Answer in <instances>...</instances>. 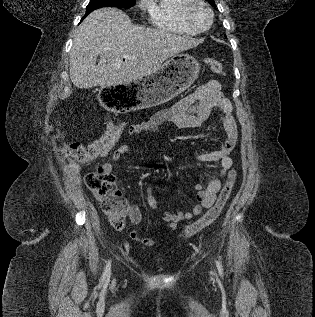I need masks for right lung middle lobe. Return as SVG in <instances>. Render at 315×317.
<instances>
[{
	"instance_id": "dd1d6c3e",
	"label": "right lung middle lobe",
	"mask_w": 315,
	"mask_h": 317,
	"mask_svg": "<svg viewBox=\"0 0 315 317\" xmlns=\"http://www.w3.org/2000/svg\"><path fill=\"white\" fill-rule=\"evenodd\" d=\"M134 4L135 0H91L86 7V15L101 7L130 8L134 6Z\"/></svg>"
}]
</instances>
